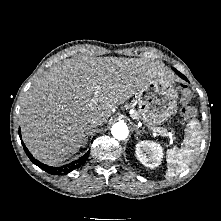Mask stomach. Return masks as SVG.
<instances>
[{
	"label": "stomach",
	"instance_id": "1",
	"mask_svg": "<svg viewBox=\"0 0 221 221\" xmlns=\"http://www.w3.org/2000/svg\"><path fill=\"white\" fill-rule=\"evenodd\" d=\"M177 91L165 77L155 78L142 87L138 93V118L149 128L165 122L177 107Z\"/></svg>",
	"mask_w": 221,
	"mask_h": 221
}]
</instances>
